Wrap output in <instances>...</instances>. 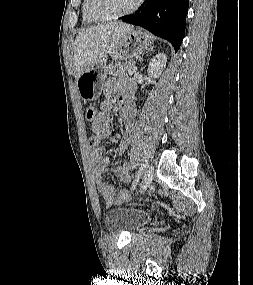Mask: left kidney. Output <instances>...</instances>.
I'll use <instances>...</instances> for the list:
<instances>
[{
    "instance_id": "5707ae66",
    "label": "left kidney",
    "mask_w": 253,
    "mask_h": 285,
    "mask_svg": "<svg viewBox=\"0 0 253 285\" xmlns=\"http://www.w3.org/2000/svg\"><path fill=\"white\" fill-rule=\"evenodd\" d=\"M166 62L167 56L164 53H158L148 65V75L152 78H158L166 67Z\"/></svg>"
}]
</instances>
